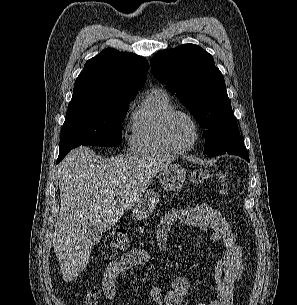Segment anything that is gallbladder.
Instances as JSON below:
<instances>
[{
  "label": "gallbladder",
  "mask_w": 297,
  "mask_h": 305,
  "mask_svg": "<svg viewBox=\"0 0 297 305\" xmlns=\"http://www.w3.org/2000/svg\"><path fill=\"white\" fill-rule=\"evenodd\" d=\"M102 231L96 225H89L86 230V238L92 244H98L102 237Z\"/></svg>",
  "instance_id": "gallbladder-1"
}]
</instances>
